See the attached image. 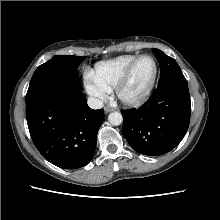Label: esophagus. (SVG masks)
<instances>
[{
  "label": "esophagus",
  "instance_id": "1",
  "mask_svg": "<svg viewBox=\"0 0 220 220\" xmlns=\"http://www.w3.org/2000/svg\"><path fill=\"white\" fill-rule=\"evenodd\" d=\"M104 110H105V113H109V112L113 111L114 109L111 108V107L106 106V107L104 108Z\"/></svg>",
  "mask_w": 220,
  "mask_h": 220
}]
</instances>
